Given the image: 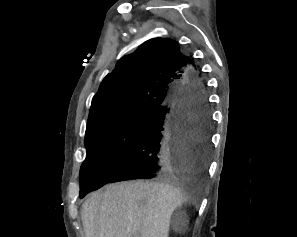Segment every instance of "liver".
<instances>
[{
	"instance_id": "1",
	"label": "liver",
	"mask_w": 297,
	"mask_h": 237,
	"mask_svg": "<svg viewBox=\"0 0 297 237\" xmlns=\"http://www.w3.org/2000/svg\"><path fill=\"white\" fill-rule=\"evenodd\" d=\"M172 182L129 181L110 184L82 205L86 237H168L171 216L191 194Z\"/></svg>"
}]
</instances>
